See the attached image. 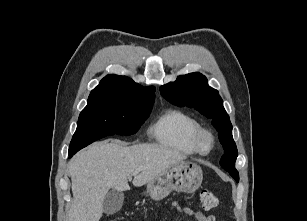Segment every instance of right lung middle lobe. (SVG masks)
I'll list each match as a JSON object with an SVG mask.
<instances>
[{
    "label": "right lung middle lobe",
    "mask_w": 307,
    "mask_h": 221,
    "mask_svg": "<svg viewBox=\"0 0 307 221\" xmlns=\"http://www.w3.org/2000/svg\"><path fill=\"white\" fill-rule=\"evenodd\" d=\"M153 103L118 99L88 102L79 115L69 156L106 136L134 134L149 116Z\"/></svg>",
    "instance_id": "1"
}]
</instances>
